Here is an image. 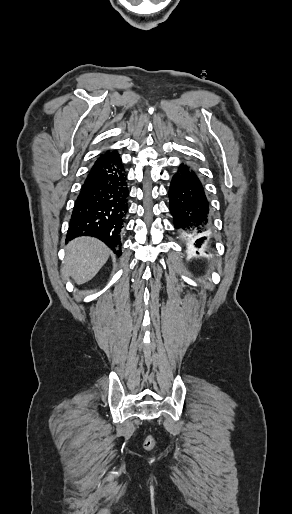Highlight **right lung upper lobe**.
<instances>
[{
  "label": "right lung upper lobe",
  "mask_w": 292,
  "mask_h": 514,
  "mask_svg": "<svg viewBox=\"0 0 292 514\" xmlns=\"http://www.w3.org/2000/svg\"><path fill=\"white\" fill-rule=\"evenodd\" d=\"M115 154H117V152H116V151H112V152L107 151V152H105L104 154H101V155H100V157L98 158V160H99V159H101V158H105V157L113 156V155H115Z\"/></svg>",
  "instance_id": "cb5924a9"
}]
</instances>
